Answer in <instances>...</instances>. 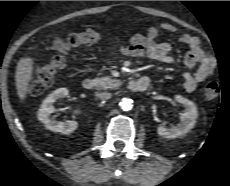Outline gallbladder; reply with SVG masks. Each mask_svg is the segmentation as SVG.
I'll list each match as a JSON object with an SVG mask.
<instances>
[{"label":"gallbladder","mask_w":230,"mask_h":186,"mask_svg":"<svg viewBox=\"0 0 230 186\" xmlns=\"http://www.w3.org/2000/svg\"><path fill=\"white\" fill-rule=\"evenodd\" d=\"M53 48H54L55 50L62 51V48H61V41H60V40L54 41V42H53Z\"/></svg>","instance_id":"obj_1"}]
</instances>
